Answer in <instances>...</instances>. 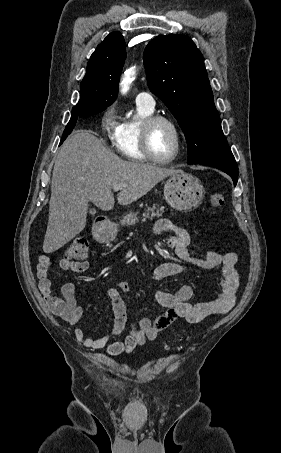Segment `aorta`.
Listing matches in <instances>:
<instances>
[{"label": "aorta", "mask_w": 281, "mask_h": 453, "mask_svg": "<svg viewBox=\"0 0 281 453\" xmlns=\"http://www.w3.org/2000/svg\"><path fill=\"white\" fill-rule=\"evenodd\" d=\"M135 74H136L135 66L125 71L123 80L121 82L122 94H126L127 91L129 90L130 84L133 82Z\"/></svg>", "instance_id": "aorta-1"}]
</instances>
